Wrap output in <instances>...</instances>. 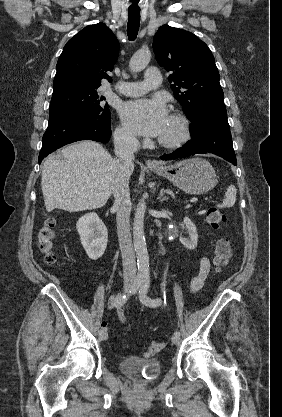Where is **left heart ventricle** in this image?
Segmentation results:
<instances>
[{
    "instance_id": "left-heart-ventricle-1",
    "label": "left heart ventricle",
    "mask_w": 282,
    "mask_h": 417,
    "mask_svg": "<svg viewBox=\"0 0 282 417\" xmlns=\"http://www.w3.org/2000/svg\"><path fill=\"white\" fill-rule=\"evenodd\" d=\"M176 134H177V125L173 120L168 118L166 127L164 131L161 133L160 137L170 139V138H173Z\"/></svg>"
}]
</instances>
